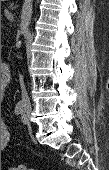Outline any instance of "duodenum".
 Instances as JSON below:
<instances>
[{
  "label": "duodenum",
  "instance_id": "duodenum-1",
  "mask_svg": "<svg viewBox=\"0 0 109 170\" xmlns=\"http://www.w3.org/2000/svg\"><path fill=\"white\" fill-rule=\"evenodd\" d=\"M10 66L8 63L1 64V91H6L9 85Z\"/></svg>",
  "mask_w": 109,
  "mask_h": 170
}]
</instances>
